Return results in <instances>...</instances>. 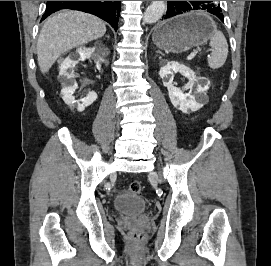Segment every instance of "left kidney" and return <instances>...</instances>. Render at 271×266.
Here are the masks:
<instances>
[{"label": "left kidney", "instance_id": "5707ae66", "mask_svg": "<svg viewBox=\"0 0 271 266\" xmlns=\"http://www.w3.org/2000/svg\"><path fill=\"white\" fill-rule=\"evenodd\" d=\"M181 73L183 76L189 79V82L185 85L184 89L174 86L173 74ZM160 77L163 79V85L167 87L169 92V98L177 109L183 113L194 112L203 107V103L198 102L199 96L205 95V92L209 89V84L203 81L197 84L196 91L193 95L184 93L185 90H191L195 85L196 75L194 72L178 62H168L159 71Z\"/></svg>", "mask_w": 271, "mask_h": 266}]
</instances>
